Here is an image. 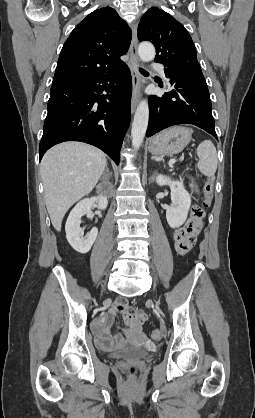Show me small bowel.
Returning <instances> with one entry per match:
<instances>
[{
    "label": "small bowel",
    "instance_id": "obj_1",
    "mask_svg": "<svg viewBox=\"0 0 255 418\" xmlns=\"http://www.w3.org/2000/svg\"><path fill=\"white\" fill-rule=\"evenodd\" d=\"M190 187L194 192H198V185L190 179ZM199 236L198 228H175L170 235L173 249H176L177 256H188L189 249H195L196 240ZM116 313H120L126 323L127 329L119 332L115 336L110 335V328ZM147 315L142 311H131L125 300L119 299L115 302L112 310L104 314L95 327L96 340L99 347L105 350L115 349L125 343V336L141 339V325L147 321Z\"/></svg>",
    "mask_w": 255,
    "mask_h": 418
}]
</instances>
